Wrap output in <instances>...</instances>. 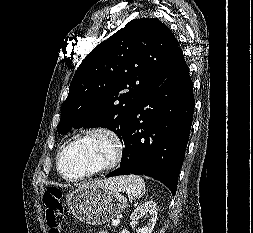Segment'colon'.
I'll return each instance as SVG.
<instances>
[{
	"mask_svg": "<svg viewBox=\"0 0 253 233\" xmlns=\"http://www.w3.org/2000/svg\"><path fill=\"white\" fill-rule=\"evenodd\" d=\"M61 199L62 193L57 188H49L44 192L45 217L50 233H63L66 225V216Z\"/></svg>",
	"mask_w": 253,
	"mask_h": 233,
	"instance_id": "colon-1",
	"label": "colon"
}]
</instances>
